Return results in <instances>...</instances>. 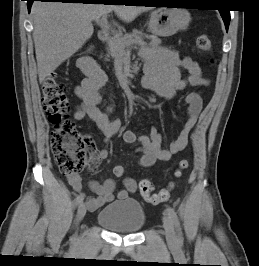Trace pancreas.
Masks as SVG:
<instances>
[{
	"label": "pancreas",
	"mask_w": 259,
	"mask_h": 266,
	"mask_svg": "<svg viewBox=\"0 0 259 266\" xmlns=\"http://www.w3.org/2000/svg\"><path fill=\"white\" fill-rule=\"evenodd\" d=\"M143 38H147L150 40L148 46L150 48H156L160 43L161 40L153 35H145L140 31L134 30L130 34H121L118 33L112 37L107 42V50H108V55L107 57H112L116 58L119 55H121L125 48L131 45H134L136 41H142ZM108 60V59H106Z\"/></svg>",
	"instance_id": "cf45deb5"
}]
</instances>
